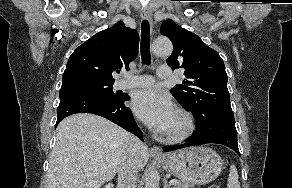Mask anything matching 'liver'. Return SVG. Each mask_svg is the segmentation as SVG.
<instances>
[{"label":"liver","instance_id":"6515ba94","mask_svg":"<svg viewBox=\"0 0 292 188\" xmlns=\"http://www.w3.org/2000/svg\"><path fill=\"white\" fill-rule=\"evenodd\" d=\"M131 135L100 116L79 113L60 122L51 153L47 188H100L116 175ZM149 159L144 146L138 168Z\"/></svg>","mask_w":292,"mask_h":188}]
</instances>
